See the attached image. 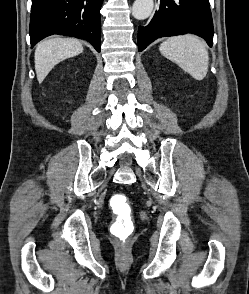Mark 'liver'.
<instances>
[{"label":"liver","instance_id":"liver-1","mask_svg":"<svg viewBox=\"0 0 249 294\" xmlns=\"http://www.w3.org/2000/svg\"><path fill=\"white\" fill-rule=\"evenodd\" d=\"M82 44L72 38H49L41 41L35 50V71L37 80L42 83L52 68L59 62L79 55Z\"/></svg>","mask_w":249,"mask_h":294}]
</instances>
